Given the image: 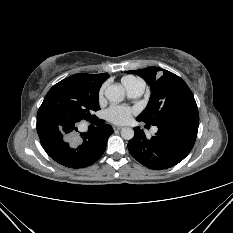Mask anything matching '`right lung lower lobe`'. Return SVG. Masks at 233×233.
Segmentation results:
<instances>
[{"instance_id":"right-lung-lower-lobe-1","label":"right lung lower lobe","mask_w":233,"mask_h":233,"mask_svg":"<svg viewBox=\"0 0 233 233\" xmlns=\"http://www.w3.org/2000/svg\"><path fill=\"white\" fill-rule=\"evenodd\" d=\"M98 121L93 132L80 135L76 124L60 125L49 118L37 120L36 126L41 145L53 160L69 168H84L102 156L113 133L110 125Z\"/></svg>"}]
</instances>
